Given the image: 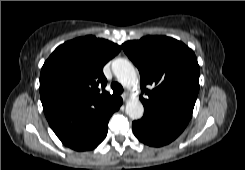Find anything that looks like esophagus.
<instances>
[{
  "label": "esophagus",
  "instance_id": "obj_1",
  "mask_svg": "<svg viewBox=\"0 0 245 170\" xmlns=\"http://www.w3.org/2000/svg\"><path fill=\"white\" fill-rule=\"evenodd\" d=\"M121 96H122L123 100L126 101L128 99V97H129V93L128 92H124Z\"/></svg>",
  "mask_w": 245,
  "mask_h": 170
}]
</instances>
